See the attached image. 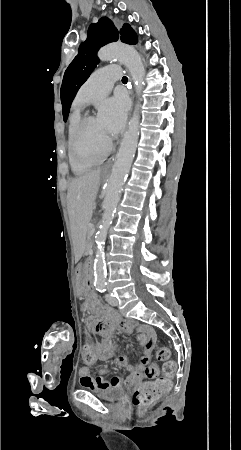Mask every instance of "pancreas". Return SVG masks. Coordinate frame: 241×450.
Returning a JSON list of instances; mask_svg holds the SVG:
<instances>
[{
	"mask_svg": "<svg viewBox=\"0 0 241 450\" xmlns=\"http://www.w3.org/2000/svg\"><path fill=\"white\" fill-rule=\"evenodd\" d=\"M91 228H95V227H88V232L86 234L87 235V238H86L87 242L91 241V238H90V237H92L91 234H90V231H91L90 229ZM93 232H95V231H93ZM87 250H92V245H87Z\"/></svg>",
	"mask_w": 241,
	"mask_h": 450,
	"instance_id": "cf45deb5",
	"label": "pancreas"
}]
</instances>
